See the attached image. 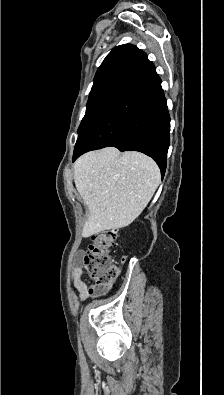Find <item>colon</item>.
I'll list each match as a JSON object with an SVG mask.
<instances>
[{
  "instance_id": "obj_1",
  "label": "colon",
  "mask_w": 224,
  "mask_h": 395,
  "mask_svg": "<svg viewBox=\"0 0 224 395\" xmlns=\"http://www.w3.org/2000/svg\"><path fill=\"white\" fill-rule=\"evenodd\" d=\"M117 238V230L108 229L94 234L82 265L87 275L95 283L106 284L114 281L119 273L118 268L112 263L110 249Z\"/></svg>"
}]
</instances>
